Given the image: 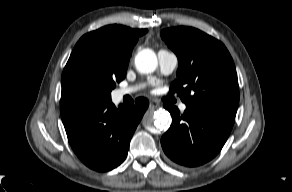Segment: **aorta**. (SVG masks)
I'll return each instance as SVG.
<instances>
[{"label":"aorta","instance_id":"1","mask_svg":"<svg viewBox=\"0 0 292 192\" xmlns=\"http://www.w3.org/2000/svg\"><path fill=\"white\" fill-rule=\"evenodd\" d=\"M135 65L141 73H151L157 67L156 54L149 49L140 51L135 57ZM171 115L164 109H159L154 112L152 117H145L143 125L148 130L165 131L171 124Z\"/></svg>","mask_w":292,"mask_h":192}]
</instances>
